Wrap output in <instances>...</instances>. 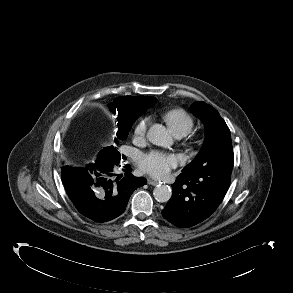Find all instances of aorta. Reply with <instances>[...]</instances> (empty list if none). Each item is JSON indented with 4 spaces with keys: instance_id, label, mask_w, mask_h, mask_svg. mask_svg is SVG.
<instances>
[{
    "instance_id": "aorta-1",
    "label": "aorta",
    "mask_w": 293,
    "mask_h": 293,
    "mask_svg": "<svg viewBox=\"0 0 293 293\" xmlns=\"http://www.w3.org/2000/svg\"><path fill=\"white\" fill-rule=\"evenodd\" d=\"M147 139L154 145L167 148L172 145L173 139L168 130L161 124L152 125L147 132ZM154 198L158 202H167L172 191L168 185H158L153 190Z\"/></svg>"
}]
</instances>
